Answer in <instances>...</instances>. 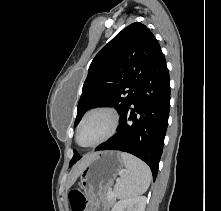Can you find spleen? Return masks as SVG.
<instances>
[{
    "label": "spleen",
    "instance_id": "1",
    "mask_svg": "<svg viewBox=\"0 0 221 211\" xmlns=\"http://www.w3.org/2000/svg\"><path fill=\"white\" fill-rule=\"evenodd\" d=\"M126 168L114 187L115 196L119 199L137 197L147 191L151 181L150 168L143 161L127 154H120Z\"/></svg>",
    "mask_w": 221,
    "mask_h": 211
}]
</instances>
